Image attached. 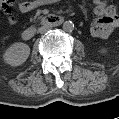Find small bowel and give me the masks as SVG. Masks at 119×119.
Instances as JSON below:
<instances>
[{
  "instance_id": "1",
  "label": "small bowel",
  "mask_w": 119,
  "mask_h": 119,
  "mask_svg": "<svg viewBox=\"0 0 119 119\" xmlns=\"http://www.w3.org/2000/svg\"><path fill=\"white\" fill-rule=\"evenodd\" d=\"M50 0H35V1H19L6 0L2 4L3 11L7 14V20L10 24H15L17 18L11 14V8L15 5L19 12L28 13L37 7L49 4ZM93 5L95 12L100 16L90 24V32L94 37L107 38L109 37L118 26V16L116 6L108 1L94 0Z\"/></svg>"
}]
</instances>
